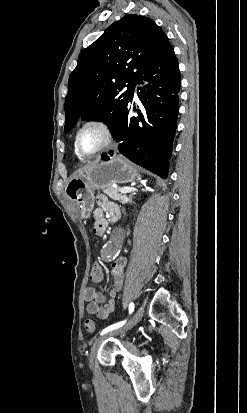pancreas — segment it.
Returning a JSON list of instances; mask_svg holds the SVG:
<instances>
[{
	"instance_id": "obj_1",
	"label": "pancreas",
	"mask_w": 247,
	"mask_h": 413,
	"mask_svg": "<svg viewBox=\"0 0 247 413\" xmlns=\"http://www.w3.org/2000/svg\"><path fill=\"white\" fill-rule=\"evenodd\" d=\"M103 192H105V194H108L110 198H114V200H119V202H122V204H125V202H133L130 196H126V194L118 192V188H113V186H106V188H103Z\"/></svg>"
}]
</instances>
